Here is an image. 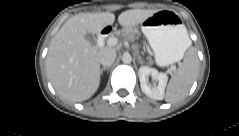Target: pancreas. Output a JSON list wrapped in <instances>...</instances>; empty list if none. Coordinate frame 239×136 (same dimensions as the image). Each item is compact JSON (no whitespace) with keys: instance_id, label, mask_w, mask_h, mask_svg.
<instances>
[{"instance_id":"pancreas-1","label":"pancreas","mask_w":239,"mask_h":136,"mask_svg":"<svg viewBox=\"0 0 239 136\" xmlns=\"http://www.w3.org/2000/svg\"><path fill=\"white\" fill-rule=\"evenodd\" d=\"M135 34H136V31L130 30V29H124V30L122 31V35H123L124 37L128 38L129 40H134Z\"/></svg>"}]
</instances>
